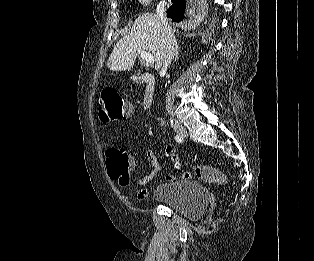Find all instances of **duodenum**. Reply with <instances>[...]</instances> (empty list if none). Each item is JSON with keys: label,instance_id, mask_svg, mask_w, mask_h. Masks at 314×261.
I'll list each match as a JSON object with an SVG mask.
<instances>
[{"label": "duodenum", "instance_id": "1", "mask_svg": "<svg viewBox=\"0 0 314 261\" xmlns=\"http://www.w3.org/2000/svg\"><path fill=\"white\" fill-rule=\"evenodd\" d=\"M138 83L145 84V91L143 96V107L144 109H149L154 100L155 94V79L150 74H144L138 78H136Z\"/></svg>", "mask_w": 314, "mask_h": 261}]
</instances>
